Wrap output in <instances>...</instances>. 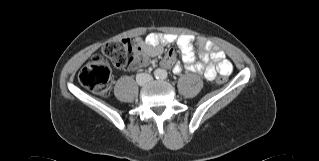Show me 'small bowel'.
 Listing matches in <instances>:
<instances>
[{
	"instance_id": "small-bowel-1",
	"label": "small bowel",
	"mask_w": 319,
	"mask_h": 161,
	"mask_svg": "<svg viewBox=\"0 0 319 161\" xmlns=\"http://www.w3.org/2000/svg\"><path fill=\"white\" fill-rule=\"evenodd\" d=\"M137 42L147 48L151 56H159L163 53L164 44H176L180 51L182 60L187 68L194 73L202 74L207 80L215 79L216 75H229L232 65L226 59L225 53L218 47H212L211 43L199 41L200 61L196 62L193 49V38L189 35L176 36L174 34H161L152 32L145 38H138ZM213 61L216 65L211 64ZM163 66L173 68L175 73L182 71V66L175 61V49H170L163 61Z\"/></svg>"
}]
</instances>
